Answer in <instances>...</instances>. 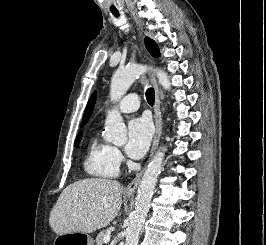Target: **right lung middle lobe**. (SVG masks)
I'll return each instance as SVG.
<instances>
[{"mask_svg":"<svg viewBox=\"0 0 266 245\" xmlns=\"http://www.w3.org/2000/svg\"><path fill=\"white\" fill-rule=\"evenodd\" d=\"M82 126H84V125H82ZM82 134H83V132H80V133L77 135L76 140H75V144H74L75 147H77V146L79 145L80 140H81V138H82Z\"/></svg>","mask_w":266,"mask_h":245,"instance_id":"dd1d6c3e","label":"right lung middle lobe"}]
</instances>
